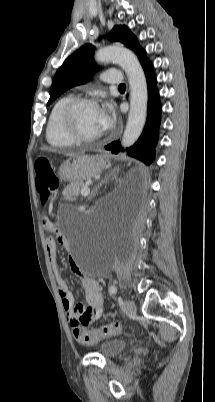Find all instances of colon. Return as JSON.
Instances as JSON below:
<instances>
[{"label": "colon", "mask_w": 215, "mask_h": 402, "mask_svg": "<svg viewBox=\"0 0 215 402\" xmlns=\"http://www.w3.org/2000/svg\"><path fill=\"white\" fill-rule=\"evenodd\" d=\"M52 159L50 156H43L35 161V185L37 192L40 195V201L45 204L57 191L59 182L57 176L51 167ZM52 220L49 217L43 219V226L45 229L50 228ZM122 324L113 322L103 325L99 328L87 330L83 326H75L73 334L76 340L82 344H92L102 338L111 337L122 332Z\"/></svg>", "instance_id": "obj_1"}]
</instances>
